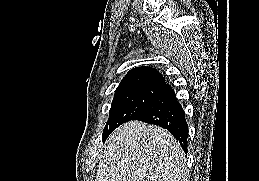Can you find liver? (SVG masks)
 <instances>
[{"mask_svg":"<svg viewBox=\"0 0 259 181\" xmlns=\"http://www.w3.org/2000/svg\"><path fill=\"white\" fill-rule=\"evenodd\" d=\"M184 158L168 131L130 121L107 139L95 181H184Z\"/></svg>","mask_w":259,"mask_h":181,"instance_id":"1","label":"liver"}]
</instances>
